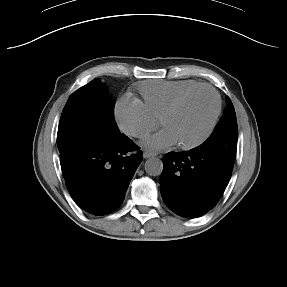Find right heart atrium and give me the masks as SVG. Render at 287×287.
I'll return each mask as SVG.
<instances>
[{"label": "right heart atrium", "instance_id": "right-heart-atrium-1", "mask_svg": "<svg viewBox=\"0 0 287 287\" xmlns=\"http://www.w3.org/2000/svg\"><path fill=\"white\" fill-rule=\"evenodd\" d=\"M115 117L121 129L135 138H144L155 130L159 122L139 99L126 95L115 105Z\"/></svg>", "mask_w": 287, "mask_h": 287}]
</instances>
